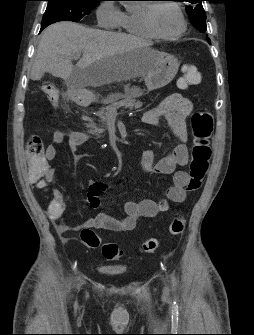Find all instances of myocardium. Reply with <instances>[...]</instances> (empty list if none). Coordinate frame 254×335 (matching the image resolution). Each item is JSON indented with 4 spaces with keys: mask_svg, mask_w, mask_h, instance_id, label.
I'll list each match as a JSON object with an SVG mask.
<instances>
[{
    "mask_svg": "<svg viewBox=\"0 0 254 335\" xmlns=\"http://www.w3.org/2000/svg\"><path fill=\"white\" fill-rule=\"evenodd\" d=\"M163 5H167L172 7L178 14L179 18H180V22H181V27L180 29L171 35H166V34H162L161 32H159L155 26V22H154V14L156 9L159 6H163ZM141 17H142V21L146 27V29L156 38L158 39H162V40H176L179 39L187 30V21L186 18L184 16V13L181 9V7L174 3V2H170V1H163V2H158L155 4H147L141 11Z\"/></svg>",
    "mask_w": 254,
    "mask_h": 335,
    "instance_id": "myocardium-1",
    "label": "myocardium"
}]
</instances>
